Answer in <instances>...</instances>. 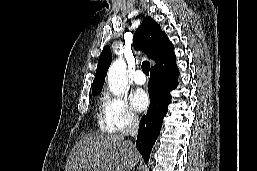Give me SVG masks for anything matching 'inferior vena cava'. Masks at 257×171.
Returning a JSON list of instances; mask_svg holds the SVG:
<instances>
[{"label": "inferior vena cava", "instance_id": "obj_1", "mask_svg": "<svg viewBox=\"0 0 257 171\" xmlns=\"http://www.w3.org/2000/svg\"><path fill=\"white\" fill-rule=\"evenodd\" d=\"M138 126H139L138 116L135 114H131L128 119L127 127L123 135H130V136L136 137L138 134Z\"/></svg>", "mask_w": 257, "mask_h": 171}]
</instances>
